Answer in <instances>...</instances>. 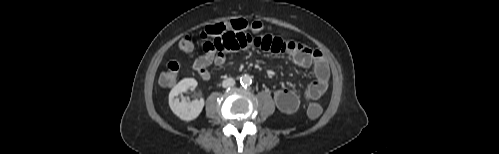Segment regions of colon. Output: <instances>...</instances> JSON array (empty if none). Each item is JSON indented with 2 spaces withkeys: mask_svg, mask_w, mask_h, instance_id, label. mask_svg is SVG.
<instances>
[{
  "mask_svg": "<svg viewBox=\"0 0 499 154\" xmlns=\"http://www.w3.org/2000/svg\"><path fill=\"white\" fill-rule=\"evenodd\" d=\"M256 30L260 31L264 29L262 23L253 21L247 22L244 19H234L228 22H219L212 25L204 27L199 35L203 39H213L217 36L222 35L227 31H246V30ZM194 46V35L186 34L183 36L179 42L178 47L183 51H189ZM180 66L178 62L171 61L167 64L166 70L162 73L160 82L164 86H170L175 83L178 78ZM307 114L310 118L316 119L322 114V107L319 103L312 102L308 105Z\"/></svg>",
  "mask_w": 499,
  "mask_h": 154,
  "instance_id": "obj_1",
  "label": "colon"
}]
</instances>
